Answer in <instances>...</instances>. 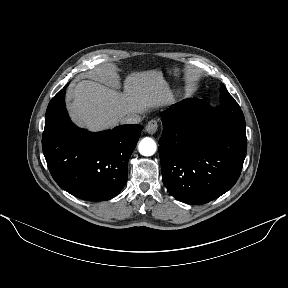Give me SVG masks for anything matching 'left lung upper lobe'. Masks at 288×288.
Segmentation results:
<instances>
[{"label": "left lung upper lobe", "instance_id": "left-lung-upper-lobe-1", "mask_svg": "<svg viewBox=\"0 0 288 288\" xmlns=\"http://www.w3.org/2000/svg\"><path fill=\"white\" fill-rule=\"evenodd\" d=\"M220 106L214 108V111L220 116L231 119L238 123L245 125V118L240 106L235 99L229 94L225 86L221 84L220 87Z\"/></svg>", "mask_w": 288, "mask_h": 288}]
</instances>
